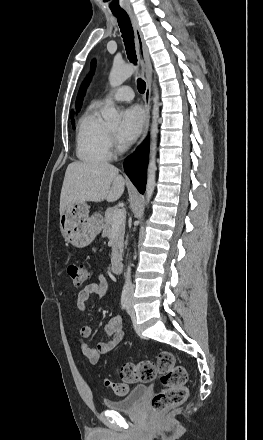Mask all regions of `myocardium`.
<instances>
[{
  "label": "myocardium",
  "instance_id": "myocardium-1",
  "mask_svg": "<svg viewBox=\"0 0 263 440\" xmlns=\"http://www.w3.org/2000/svg\"><path fill=\"white\" fill-rule=\"evenodd\" d=\"M109 130V129H108ZM109 134H110V136H113L114 135V132L112 131V130H109Z\"/></svg>",
  "mask_w": 263,
  "mask_h": 440
}]
</instances>
